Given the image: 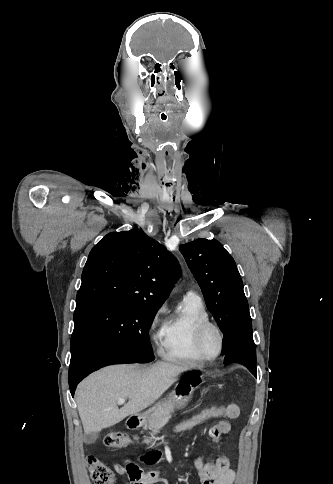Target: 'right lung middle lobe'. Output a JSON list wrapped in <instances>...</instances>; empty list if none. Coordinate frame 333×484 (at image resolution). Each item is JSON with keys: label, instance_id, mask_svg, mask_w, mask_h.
<instances>
[{"label": "right lung middle lobe", "instance_id": "obj_1", "mask_svg": "<svg viewBox=\"0 0 333 484\" xmlns=\"http://www.w3.org/2000/svg\"><path fill=\"white\" fill-rule=\"evenodd\" d=\"M159 308L112 300H92L76 304L74 334L89 327L119 344L138 363L154 360L149 328Z\"/></svg>", "mask_w": 333, "mask_h": 484}]
</instances>
